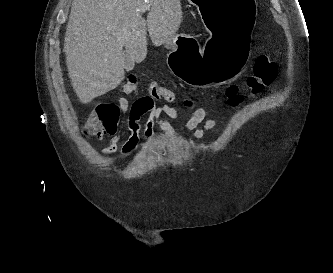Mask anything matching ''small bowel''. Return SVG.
<instances>
[{
  "label": "small bowel",
  "mask_w": 333,
  "mask_h": 273,
  "mask_svg": "<svg viewBox=\"0 0 333 273\" xmlns=\"http://www.w3.org/2000/svg\"><path fill=\"white\" fill-rule=\"evenodd\" d=\"M274 77L275 72L273 79ZM272 86L273 84L271 87ZM230 106L235 107V105ZM118 108L122 112L129 114L127 125L130 135L122 146V153L124 155H129L135 150L141 140V130H143L142 139L146 144H149L154 136L155 125L158 124L163 130L169 132L170 127L167 118L185 120L182 132H192L197 141L203 138L205 131L218 127L216 120L207 118L208 110L206 108L181 110L168 104L154 106L153 96H139L138 100L131 105H129L125 98H119ZM110 134L111 138L108 145L101 150L103 156H109L115 153L119 147L121 139L120 133L114 131L110 132Z\"/></svg>",
  "instance_id": "c3829d8e"
}]
</instances>
